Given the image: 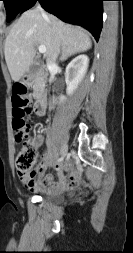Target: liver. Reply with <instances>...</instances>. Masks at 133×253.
<instances>
[{
	"label": "liver",
	"mask_w": 133,
	"mask_h": 253,
	"mask_svg": "<svg viewBox=\"0 0 133 253\" xmlns=\"http://www.w3.org/2000/svg\"><path fill=\"white\" fill-rule=\"evenodd\" d=\"M36 44L46 47L49 62L56 45L61 49L62 56H70L87 51L92 42L84 29L66 24L53 15H48L46 19L38 9L24 12L12 26L4 47L7 67L15 82L33 64Z\"/></svg>",
	"instance_id": "6515ba94"
}]
</instances>
